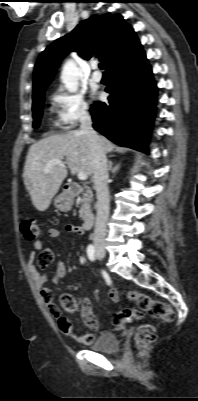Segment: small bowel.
<instances>
[{"label": "small bowel", "mask_w": 198, "mask_h": 401, "mask_svg": "<svg viewBox=\"0 0 198 401\" xmlns=\"http://www.w3.org/2000/svg\"><path fill=\"white\" fill-rule=\"evenodd\" d=\"M65 230L67 233L70 234H78V235L85 234L84 229L77 225H72V224L67 225ZM48 236L50 238H58L61 236V230L56 227L49 228ZM41 250H42V241L38 239L34 243V247L29 253L28 269L31 273L34 284L36 285V287L40 292L42 299L48 304L50 312L52 313L53 294L52 291L45 286V283L49 278V271L51 268L55 269L54 282L58 283L59 280L66 273V265L63 261L55 260L53 251L49 249H45L42 251ZM39 251H41L40 255H38ZM108 294L112 303L116 304L119 300L118 292L115 289H110ZM81 315L84 322L89 328L98 333L101 332L99 321L94 316L90 300L88 299L82 300ZM58 327L63 335L76 338L78 342L82 345H89L94 339V335L91 333L78 334L75 331L72 323L66 318L63 317L58 318Z\"/></svg>", "instance_id": "small-bowel-1"}]
</instances>
